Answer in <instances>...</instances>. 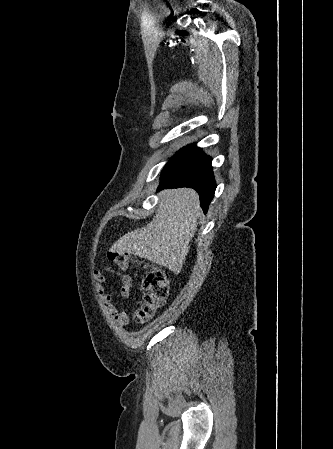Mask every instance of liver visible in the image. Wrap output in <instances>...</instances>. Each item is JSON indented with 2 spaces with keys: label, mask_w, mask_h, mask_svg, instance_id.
Wrapping results in <instances>:
<instances>
[{
  "label": "liver",
  "mask_w": 333,
  "mask_h": 449,
  "mask_svg": "<svg viewBox=\"0 0 333 449\" xmlns=\"http://www.w3.org/2000/svg\"><path fill=\"white\" fill-rule=\"evenodd\" d=\"M159 207L149 224L128 232L110 251L134 254L180 272L197 230L200 201L190 188L165 189L159 193Z\"/></svg>",
  "instance_id": "1"
}]
</instances>
